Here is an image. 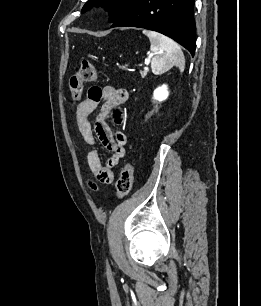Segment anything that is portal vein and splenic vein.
<instances>
[{
	"label": "portal vein and splenic vein",
	"mask_w": 261,
	"mask_h": 306,
	"mask_svg": "<svg viewBox=\"0 0 261 306\" xmlns=\"http://www.w3.org/2000/svg\"><path fill=\"white\" fill-rule=\"evenodd\" d=\"M144 70H145V71H148V70H149L148 65H146V66L144 67Z\"/></svg>",
	"instance_id": "obj_1"
}]
</instances>
